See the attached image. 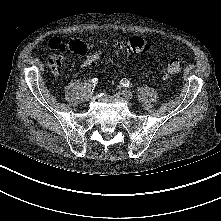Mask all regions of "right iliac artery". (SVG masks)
Masks as SVG:
<instances>
[{"label": "right iliac artery", "instance_id": "82829eb1", "mask_svg": "<svg viewBox=\"0 0 221 221\" xmlns=\"http://www.w3.org/2000/svg\"><path fill=\"white\" fill-rule=\"evenodd\" d=\"M97 81H98L97 78H92V79L87 80L85 82V88L89 91H92L95 88Z\"/></svg>", "mask_w": 221, "mask_h": 221}]
</instances>
